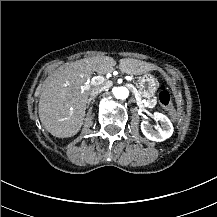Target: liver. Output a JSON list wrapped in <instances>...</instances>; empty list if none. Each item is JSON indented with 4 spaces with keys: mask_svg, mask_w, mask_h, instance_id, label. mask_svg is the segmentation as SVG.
Returning a JSON list of instances; mask_svg holds the SVG:
<instances>
[{
    "mask_svg": "<svg viewBox=\"0 0 217 217\" xmlns=\"http://www.w3.org/2000/svg\"><path fill=\"white\" fill-rule=\"evenodd\" d=\"M115 65L112 57L94 56L66 64L48 77L39 101V117L44 128L59 138L76 135L83 125L91 74L113 72ZM119 69L122 73L142 75L159 68L145 61L125 58L120 59Z\"/></svg>",
    "mask_w": 217,
    "mask_h": 217,
    "instance_id": "obj_1",
    "label": "liver"
}]
</instances>
